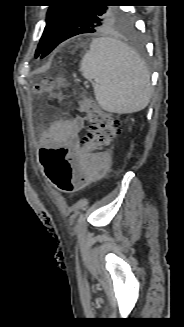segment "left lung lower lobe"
Returning <instances> with one entry per match:
<instances>
[{"instance_id": "left-lung-lower-lobe-1", "label": "left lung lower lobe", "mask_w": 184, "mask_h": 327, "mask_svg": "<svg viewBox=\"0 0 184 327\" xmlns=\"http://www.w3.org/2000/svg\"><path fill=\"white\" fill-rule=\"evenodd\" d=\"M127 28V27H126ZM132 38L135 42V45L138 49H142L144 47L143 40L136 34L132 33ZM75 35H78L74 30H70V28L65 27L63 17L58 21L50 39L47 43L45 49L41 53V57L46 56L49 54L58 44L65 41L66 39H69L70 37H73Z\"/></svg>"}]
</instances>
